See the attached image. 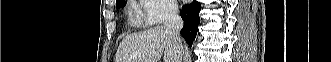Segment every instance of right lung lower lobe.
I'll list each match as a JSON object with an SVG mask.
<instances>
[{
    "instance_id": "1",
    "label": "right lung lower lobe",
    "mask_w": 331,
    "mask_h": 62,
    "mask_svg": "<svg viewBox=\"0 0 331 62\" xmlns=\"http://www.w3.org/2000/svg\"><path fill=\"white\" fill-rule=\"evenodd\" d=\"M200 9L201 4L198 1L193 0L191 4L184 5L180 11V15L184 20V27L180 33L189 46L192 45V42L196 37L198 30L197 27L200 21Z\"/></svg>"
}]
</instances>
